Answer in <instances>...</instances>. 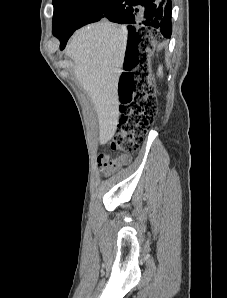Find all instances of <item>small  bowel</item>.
<instances>
[{
  "label": "small bowel",
  "instance_id": "c3829d8e",
  "mask_svg": "<svg viewBox=\"0 0 227 298\" xmlns=\"http://www.w3.org/2000/svg\"><path fill=\"white\" fill-rule=\"evenodd\" d=\"M130 161L131 156L128 154L112 156L108 153H101L97 158L98 166L104 174H111L123 166L128 165Z\"/></svg>",
  "mask_w": 227,
  "mask_h": 298
}]
</instances>
